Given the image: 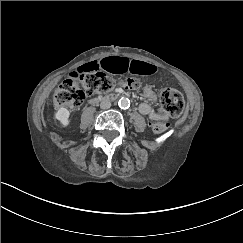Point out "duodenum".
Here are the masks:
<instances>
[{
	"instance_id": "obj_1",
	"label": "duodenum",
	"mask_w": 243,
	"mask_h": 243,
	"mask_svg": "<svg viewBox=\"0 0 243 243\" xmlns=\"http://www.w3.org/2000/svg\"><path fill=\"white\" fill-rule=\"evenodd\" d=\"M117 98L116 94H107V95H101L99 97H96L90 101V103L95 104L100 101H111Z\"/></svg>"
}]
</instances>
